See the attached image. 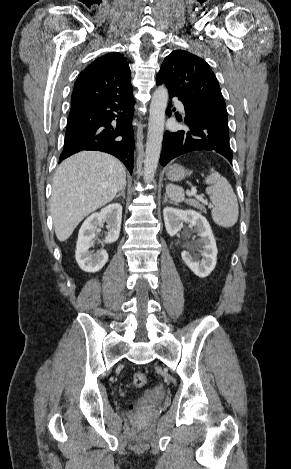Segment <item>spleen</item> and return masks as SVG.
Returning <instances> with one entry per match:
<instances>
[{
	"label": "spleen",
	"instance_id": "spleen-1",
	"mask_svg": "<svg viewBox=\"0 0 291 469\" xmlns=\"http://www.w3.org/2000/svg\"><path fill=\"white\" fill-rule=\"evenodd\" d=\"M205 183L210 185L206 189V193L213 204L211 211L213 221L225 228L234 226L238 220L239 206L237 197L227 179L211 168ZM166 192L170 199L176 203L182 202L185 198L183 188L176 185L168 184Z\"/></svg>",
	"mask_w": 291,
	"mask_h": 469
}]
</instances>
